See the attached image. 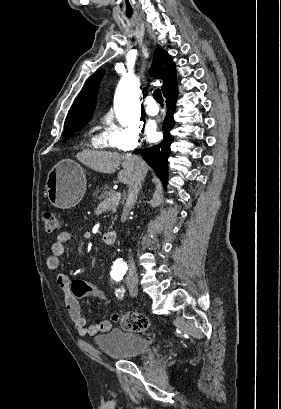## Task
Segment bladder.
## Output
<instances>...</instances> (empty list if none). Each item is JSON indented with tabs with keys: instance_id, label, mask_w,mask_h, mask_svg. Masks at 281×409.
I'll return each instance as SVG.
<instances>
[{
	"instance_id": "1",
	"label": "bladder",
	"mask_w": 281,
	"mask_h": 409,
	"mask_svg": "<svg viewBox=\"0 0 281 409\" xmlns=\"http://www.w3.org/2000/svg\"><path fill=\"white\" fill-rule=\"evenodd\" d=\"M93 342L99 352L114 360L145 357L153 351L148 337L120 328L107 329L104 334L95 336Z\"/></svg>"
}]
</instances>
